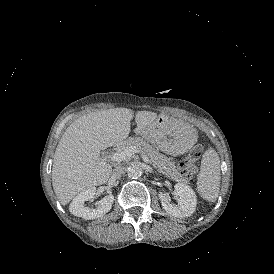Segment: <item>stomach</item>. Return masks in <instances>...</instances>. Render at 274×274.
<instances>
[{
  "label": "stomach",
  "instance_id": "stomach-1",
  "mask_svg": "<svg viewBox=\"0 0 274 274\" xmlns=\"http://www.w3.org/2000/svg\"><path fill=\"white\" fill-rule=\"evenodd\" d=\"M196 130L167 115L158 118L141 135L165 154L178 156L196 143Z\"/></svg>",
  "mask_w": 274,
  "mask_h": 274
}]
</instances>
